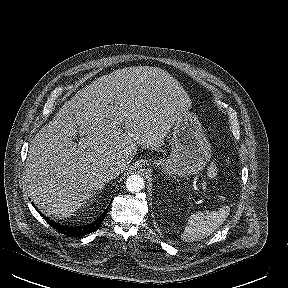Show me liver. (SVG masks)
Listing matches in <instances>:
<instances>
[{"label": "liver", "instance_id": "liver-1", "mask_svg": "<svg viewBox=\"0 0 288 288\" xmlns=\"http://www.w3.org/2000/svg\"><path fill=\"white\" fill-rule=\"evenodd\" d=\"M190 107L179 81L158 67H125L96 79L31 141L28 193L49 214L70 217L109 181L105 165L120 163L124 172L138 145L157 150ZM77 132L85 135L79 144Z\"/></svg>", "mask_w": 288, "mask_h": 288}]
</instances>
